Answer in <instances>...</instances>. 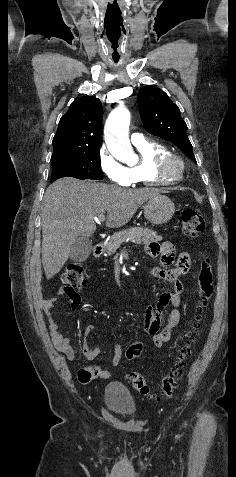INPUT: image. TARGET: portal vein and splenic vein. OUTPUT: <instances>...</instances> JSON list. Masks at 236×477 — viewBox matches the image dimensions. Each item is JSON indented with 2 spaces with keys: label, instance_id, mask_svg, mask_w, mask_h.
I'll return each instance as SVG.
<instances>
[{
  "label": "portal vein and splenic vein",
  "instance_id": "1",
  "mask_svg": "<svg viewBox=\"0 0 236 477\" xmlns=\"http://www.w3.org/2000/svg\"><path fill=\"white\" fill-rule=\"evenodd\" d=\"M97 222H103L105 220V215L100 214L98 217L94 218Z\"/></svg>",
  "mask_w": 236,
  "mask_h": 477
}]
</instances>
